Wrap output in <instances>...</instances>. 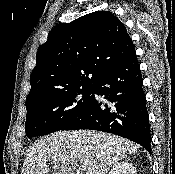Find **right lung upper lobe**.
<instances>
[{
    "label": "right lung upper lobe",
    "instance_id": "right-lung-upper-lobe-1",
    "mask_svg": "<svg viewBox=\"0 0 175 174\" xmlns=\"http://www.w3.org/2000/svg\"><path fill=\"white\" fill-rule=\"evenodd\" d=\"M135 53L124 24L96 11L54 27L36 55L26 106L57 93L95 85L113 65Z\"/></svg>",
    "mask_w": 175,
    "mask_h": 174
}]
</instances>
